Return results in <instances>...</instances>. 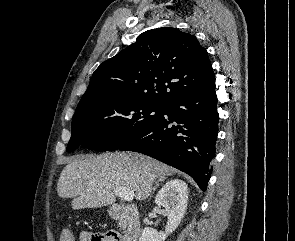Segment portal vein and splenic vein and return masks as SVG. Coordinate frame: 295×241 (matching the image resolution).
I'll list each match as a JSON object with an SVG mask.
<instances>
[{"mask_svg":"<svg viewBox=\"0 0 295 241\" xmlns=\"http://www.w3.org/2000/svg\"><path fill=\"white\" fill-rule=\"evenodd\" d=\"M114 193L116 196L123 198L125 201H132L134 199V191L124 188V187H118L114 190Z\"/></svg>","mask_w":295,"mask_h":241,"instance_id":"obj_1","label":"portal vein and splenic vein"}]
</instances>
